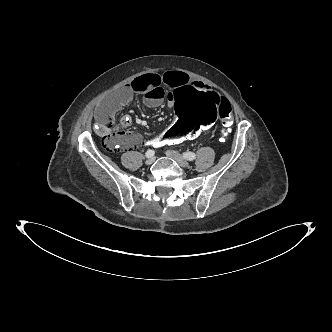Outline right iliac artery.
Returning a JSON list of instances; mask_svg holds the SVG:
<instances>
[{"instance_id": "right-iliac-artery-1", "label": "right iliac artery", "mask_w": 332, "mask_h": 332, "mask_svg": "<svg viewBox=\"0 0 332 332\" xmlns=\"http://www.w3.org/2000/svg\"><path fill=\"white\" fill-rule=\"evenodd\" d=\"M154 154H155V151L152 149L147 150L145 153L147 158L154 156Z\"/></svg>"}]
</instances>
